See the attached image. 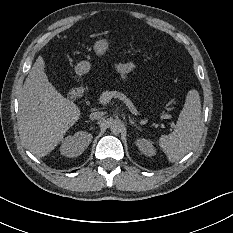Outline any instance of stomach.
<instances>
[{"label": "stomach", "instance_id": "stomach-1", "mask_svg": "<svg viewBox=\"0 0 233 233\" xmlns=\"http://www.w3.org/2000/svg\"><path fill=\"white\" fill-rule=\"evenodd\" d=\"M109 45V41L105 38H102L94 43L93 50L97 56H102L109 49ZM91 67L92 65L89 61H80L79 63H77L74 69L76 74L81 77L88 74L91 70Z\"/></svg>", "mask_w": 233, "mask_h": 233}]
</instances>
